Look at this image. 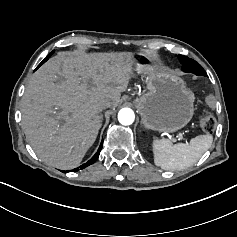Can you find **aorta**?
<instances>
[{
  "label": "aorta",
  "instance_id": "aorta-1",
  "mask_svg": "<svg viewBox=\"0 0 237 237\" xmlns=\"http://www.w3.org/2000/svg\"><path fill=\"white\" fill-rule=\"evenodd\" d=\"M135 120L134 112L129 108H123L118 113V121L123 126L131 125Z\"/></svg>",
  "mask_w": 237,
  "mask_h": 237
}]
</instances>
